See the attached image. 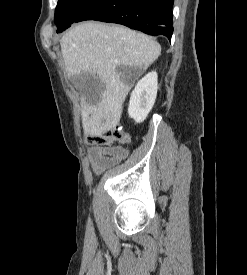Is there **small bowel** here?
I'll list each match as a JSON object with an SVG mask.
<instances>
[{
    "instance_id": "small-bowel-1",
    "label": "small bowel",
    "mask_w": 247,
    "mask_h": 275,
    "mask_svg": "<svg viewBox=\"0 0 247 275\" xmlns=\"http://www.w3.org/2000/svg\"><path fill=\"white\" fill-rule=\"evenodd\" d=\"M128 155L122 146H93L89 151V163L95 175L119 164Z\"/></svg>"
}]
</instances>
